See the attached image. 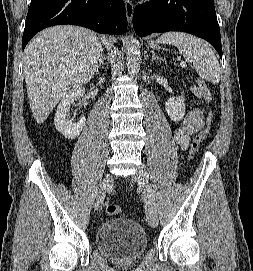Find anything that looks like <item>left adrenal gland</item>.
<instances>
[{"mask_svg": "<svg viewBox=\"0 0 253 271\" xmlns=\"http://www.w3.org/2000/svg\"><path fill=\"white\" fill-rule=\"evenodd\" d=\"M151 53H152L151 61H154V60L163 61V59H161L159 56H157L154 51H151Z\"/></svg>", "mask_w": 253, "mask_h": 271, "instance_id": "a2214340", "label": "left adrenal gland"}]
</instances>
